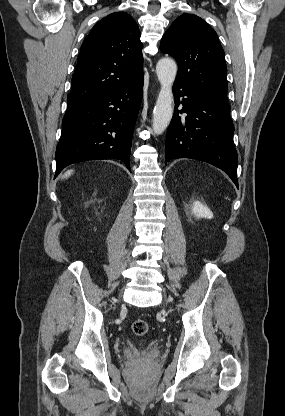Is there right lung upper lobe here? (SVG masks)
<instances>
[{
  "label": "right lung upper lobe",
  "instance_id": "cb5924a9",
  "mask_svg": "<svg viewBox=\"0 0 285 416\" xmlns=\"http://www.w3.org/2000/svg\"><path fill=\"white\" fill-rule=\"evenodd\" d=\"M140 31L125 12L108 15L86 36L67 97L68 108L105 97L143 76Z\"/></svg>",
  "mask_w": 285,
  "mask_h": 416
}]
</instances>
